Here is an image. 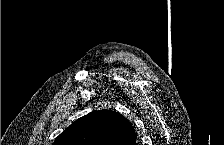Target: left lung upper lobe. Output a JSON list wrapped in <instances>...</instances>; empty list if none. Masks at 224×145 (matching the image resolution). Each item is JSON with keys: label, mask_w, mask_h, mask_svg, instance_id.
Segmentation results:
<instances>
[{"label": "left lung upper lobe", "mask_w": 224, "mask_h": 145, "mask_svg": "<svg viewBox=\"0 0 224 145\" xmlns=\"http://www.w3.org/2000/svg\"><path fill=\"white\" fill-rule=\"evenodd\" d=\"M53 145L137 144L129 120L112 110H98L77 119L55 139Z\"/></svg>", "instance_id": "5c2ea615"}]
</instances>
